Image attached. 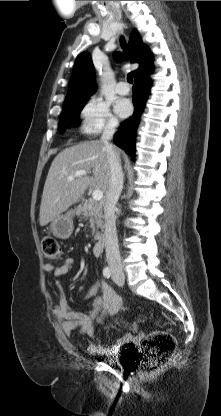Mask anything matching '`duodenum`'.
Returning a JSON list of instances; mask_svg holds the SVG:
<instances>
[{"mask_svg":"<svg viewBox=\"0 0 221 416\" xmlns=\"http://www.w3.org/2000/svg\"><path fill=\"white\" fill-rule=\"evenodd\" d=\"M103 247V242L101 239L96 240L93 244H92V248H91V253L97 257L101 254V250Z\"/></svg>","mask_w":221,"mask_h":416,"instance_id":"duodenum-1","label":"duodenum"}]
</instances>
